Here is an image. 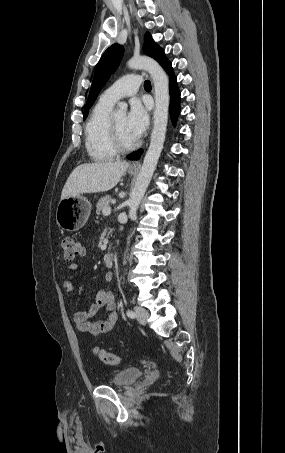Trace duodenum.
<instances>
[{
  "label": "duodenum",
  "mask_w": 285,
  "mask_h": 453,
  "mask_svg": "<svg viewBox=\"0 0 285 453\" xmlns=\"http://www.w3.org/2000/svg\"><path fill=\"white\" fill-rule=\"evenodd\" d=\"M103 262L106 267H112L113 265V256L111 253H105L103 256Z\"/></svg>",
  "instance_id": "410a0bca"
}]
</instances>
